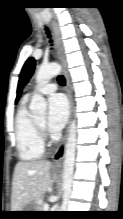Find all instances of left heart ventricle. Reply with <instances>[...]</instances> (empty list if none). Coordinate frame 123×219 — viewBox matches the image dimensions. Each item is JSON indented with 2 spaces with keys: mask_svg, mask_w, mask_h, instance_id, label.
Segmentation results:
<instances>
[{
  "mask_svg": "<svg viewBox=\"0 0 123 219\" xmlns=\"http://www.w3.org/2000/svg\"><path fill=\"white\" fill-rule=\"evenodd\" d=\"M44 121H45L44 118H40V119H38V122H39L40 124H44Z\"/></svg>",
  "mask_w": 123,
  "mask_h": 219,
  "instance_id": "left-heart-ventricle-1",
  "label": "left heart ventricle"
}]
</instances>
